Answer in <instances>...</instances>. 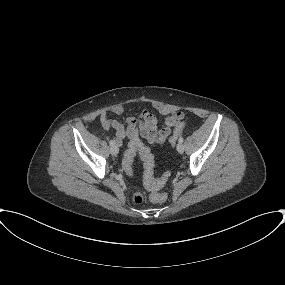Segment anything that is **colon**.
Returning <instances> with one entry per match:
<instances>
[{"label":"colon","instance_id":"5ec220e1","mask_svg":"<svg viewBox=\"0 0 285 285\" xmlns=\"http://www.w3.org/2000/svg\"><path fill=\"white\" fill-rule=\"evenodd\" d=\"M182 130H175L172 135L170 136L169 142L174 145L178 136ZM140 153L141 159L143 161V168H144V182L147 185H151L154 190H157L165 185L168 181L170 173L166 172L160 178L154 177V166L155 161L152 153L150 150L144 146L143 144L132 141L130 142L128 149L123 158V167L128 174H132L133 168L132 163L136 152ZM146 199V196L143 192L138 191L134 194V200L137 203H142ZM150 199L152 202L156 204H163L166 202V195L163 193L155 192L150 195Z\"/></svg>","mask_w":285,"mask_h":285}]
</instances>
